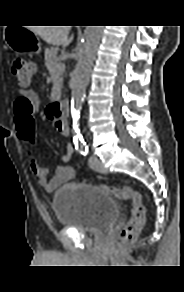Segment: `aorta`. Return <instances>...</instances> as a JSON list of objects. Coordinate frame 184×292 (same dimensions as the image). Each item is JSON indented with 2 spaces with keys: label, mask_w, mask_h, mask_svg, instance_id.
<instances>
[{
  "label": "aorta",
  "mask_w": 184,
  "mask_h": 292,
  "mask_svg": "<svg viewBox=\"0 0 184 292\" xmlns=\"http://www.w3.org/2000/svg\"><path fill=\"white\" fill-rule=\"evenodd\" d=\"M103 26H87L78 51L77 64L72 79L71 113L75 128L80 115L96 50L101 39Z\"/></svg>",
  "instance_id": "aorta-1"
}]
</instances>
